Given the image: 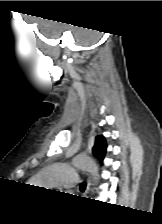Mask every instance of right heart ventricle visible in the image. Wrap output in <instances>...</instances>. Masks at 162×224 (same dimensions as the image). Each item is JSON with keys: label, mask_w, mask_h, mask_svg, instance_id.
<instances>
[{"label": "right heart ventricle", "mask_w": 162, "mask_h": 224, "mask_svg": "<svg viewBox=\"0 0 162 224\" xmlns=\"http://www.w3.org/2000/svg\"><path fill=\"white\" fill-rule=\"evenodd\" d=\"M30 182H31L32 185H35V186L44 185V183L40 180V178L39 179L33 178Z\"/></svg>", "instance_id": "1"}]
</instances>
